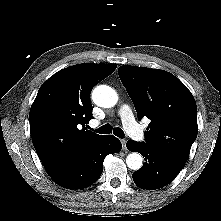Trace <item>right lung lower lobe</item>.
Returning <instances> with one entry per match:
<instances>
[{
	"label": "right lung lower lobe",
	"mask_w": 221,
	"mask_h": 221,
	"mask_svg": "<svg viewBox=\"0 0 221 221\" xmlns=\"http://www.w3.org/2000/svg\"><path fill=\"white\" fill-rule=\"evenodd\" d=\"M121 148L122 144L118 138L106 135L50 177L56 184L66 189L86 188L101 176L104 158L109 154L118 153Z\"/></svg>",
	"instance_id": "right-lung-lower-lobe-1"
}]
</instances>
